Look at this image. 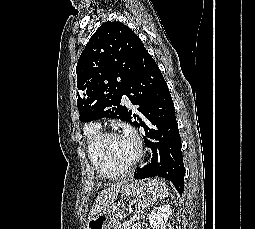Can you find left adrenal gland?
Segmentation results:
<instances>
[{
	"label": "left adrenal gland",
	"mask_w": 255,
	"mask_h": 229,
	"mask_svg": "<svg viewBox=\"0 0 255 229\" xmlns=\"http://www.w3.org/2000/svg\"><path fill=\"white\" fill-rule=\"evenodd\" d=\"M152 200V199H151ZM149 202H150V200H143V202L142 201H140V203H139V205H138V211L139 212H141V213H143L144 212V210L145 209H147L148 208V206L150 205L149 204ZM155 202V201H154ZM154 203H152V205H153Z\"/></svg>",
	"instance_id": "obj_1"
}]
</instances>
